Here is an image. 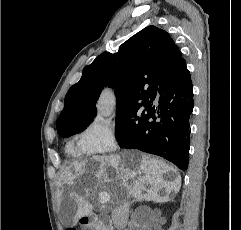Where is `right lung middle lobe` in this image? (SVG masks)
<instances>
[{
  "label": "right lung middle lobe",
  "instance_id": "dd1d6c3e",
  "mask_svg": "<svg viewBox=\"0 0 241 230\" xmlns=\"http://www.w3.org/2000/svg\"><path fill=\"white\" fill-rule=\"evenodd\" d=\"M147 104L142 103L137 106L118 108L116 110L115 135L119 143H124L130 134L139 130L147 121ZM144 106L145 109L142 108ZM92 121L81 123L67 130L59 131V135L69 137L83 131Z\"/></svg>",
  "mask_w": 241,
  "mask_h": 230
}]
</instances>
